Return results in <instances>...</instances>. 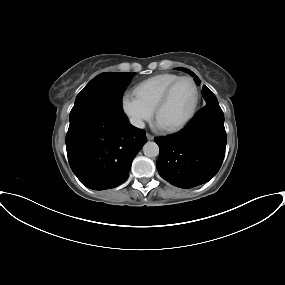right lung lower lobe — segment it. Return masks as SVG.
Instances as JSON below:
<instances>
[{"label": "right lung lower lobe", "instance_id": "obj_1", "mask_svg": "<svg viewBox=\"0 0 285 285\" xmlns=\"http://www.w3.org/2000/svg\"><path fill=\"white\" fill-rule=\"evenodd\" d=\"M147 142L145 132L132 126L125 114L102 109L70 120L66 136L70 167L86 187H117L129 175L132 161Z\"/></svg>", "mask_w": 285, "mask_h": 285}]
</instances>
